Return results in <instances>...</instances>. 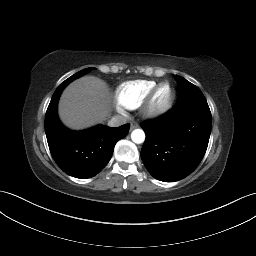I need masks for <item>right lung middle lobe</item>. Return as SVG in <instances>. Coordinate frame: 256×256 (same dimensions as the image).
I'll return each mask as SVG.
<instances>
[{
    "instance_id": "dd1d6c3e",
    "label": "right lung middle lobe",
    "mask_w": 256,
    "mask_h": 256,
    "mask_svg": "<svg viewBox=\"0 0 256 256\" xmlns=\"http://www.w3.org/2000/svg\"><path fill=\"white\" fill-rule=\"evenodd\" d=\"M93 68H86L84 70H81L77 73H75L74 75H72L71 77H69L68 79H66L59 87H65L67 84H69L72 80L81 77L82 75H84L85 73H87L88 71H90Z\"/></svg>"
}]
</instances>
